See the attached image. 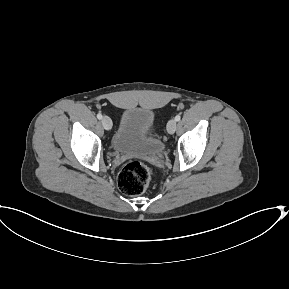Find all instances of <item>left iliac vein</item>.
I'll use <instances>...</instances> for the list:
<instances>
[{"mask_svg": "<svg viewBox=\"0 0 289 289\" xmlns=\"http://www.w3.org/2000/svg\"><path fill=\"white\" fill-rule=\"evenodd\" d=\"M177 123L175 119L169 120L167 123V131L169 134H173L176 131Z\"/></svg>", "mask_w": 289, "mask_h": 289, "instance_id": "4c4485c4", "label": "left iliac vein"}]
</instances>
